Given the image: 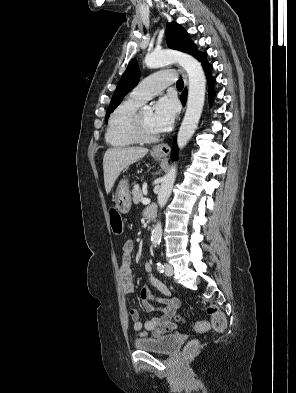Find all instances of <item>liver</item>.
I'll return each mask as SVG.
<instances>
[{"instance_id": "liver-1", "label": "liver", "mask_w": 296, "mask_h": 393, "mask_svg": "<svg viewBox=\"0 0 296 393\" xmlns=\"http://www.w3.org/2000/svg\"><path fill=\"white\" fill-rule=\"evenodd\" d=\"M148 153L147 148H109L103 157L104 183L109 194L120 173L129 165L139 161Z\"/></svg>"}]
</instances>
